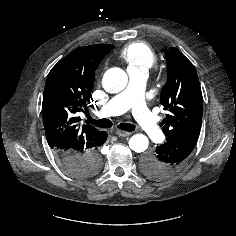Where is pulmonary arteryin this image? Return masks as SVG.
<instances>
[{
  "instance_id": "pulmonary-artery-1",
  "label": "pulmonary artery",
  "mask_w": 236,
  "mask_h": 236,
  "mask_svg": "<svg viewBox=\"0 0 236 236\" xmlns=\"http://www.w3.org/2000/svg\"><path fill=\"white\" fill-rule=\"evenodd\" d=\"M129 83L118 95L113 97L100 110L101 117L120 115L131 110L137 123L144 132L158 142L164 141V134L157 124L155 116L148 109L144 101V90L148 71L128 69Z\"/></svg>"
}]
</instances>
